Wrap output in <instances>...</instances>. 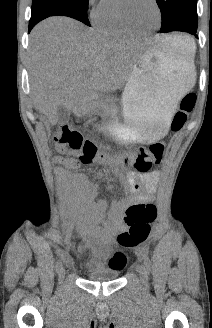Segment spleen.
Wrapping results in <instances>:
<instances>
[{"label":"spleen","instance_id":"obj_1","mask_svg":"<svg viewBox=\"0 0 212 328\" xmlns=\"http://www.w3.org/2000/svg\"><path fill=\"white\" fill-rule=\"evenodd\" d=\"M165 40L172 42L176 46L183 47L187 52L194 56L196 51V44L192 38L188 36L174 35L166 37Z\"/></svg>","mask_w":212,"mask_h":328}]
</instances>
